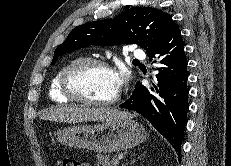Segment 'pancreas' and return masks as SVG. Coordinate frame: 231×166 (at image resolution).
Returning a JSON list of instances; mask_svg holds the SVG:
<instances>
[{
    "instance_id": "obj_1",
    "label": "pancreas",
    "mask_w": 231,
    "mask_h": 166,
    "mask_svg": "<svg viewBox=\"0 0 231 166\" xmlns=\"http://www.w3.org/2000/svg\"><path fill=\"white\" fill-rule=\"evenodd\" d=\"M97 166H118V162L109 159L107 155H97Z\"/></svg>"
}]
</instances>
